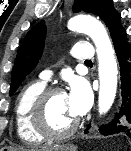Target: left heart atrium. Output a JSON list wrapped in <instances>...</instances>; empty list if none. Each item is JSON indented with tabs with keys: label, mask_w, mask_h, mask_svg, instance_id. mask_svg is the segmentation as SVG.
Instances as JSON below:
<instances>
[{
	"label": "left heart atrium",
	"mask_w": 131,
	"mask_h": 151,
	"mask_svg": "<svg viewBox=\"0 0 131 151\" xmlns=\"http://www.w3.org/2000/svg\"><path fill=\"white\" fill-rule=\"evenodd\" d=\"M70 111L76 118L82 116L89 108L91 94L88 86L82 82H75L66 94Z\"/></svg>",
	"instance_id": "left-heart-atrium-1"
}]
</instances>
